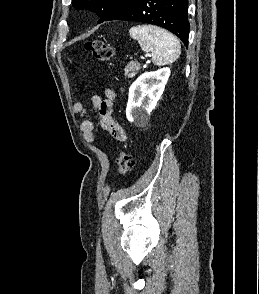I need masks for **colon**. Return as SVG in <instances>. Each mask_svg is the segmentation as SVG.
Returning a JSON list of instances; mask_svg holds the SVG:
<instances>
[{"label":"colon","mask_w":259,"mask_h":294,"mask_svg":"<svg viewBox=\"0 0 259 294\" xmlns=\"http://www.w3.org/2000/svg\"><path fill=\"white\" fill-rule=\"evenodd\" d=\"M92 56L100 61H107L112 57V47L103 40H91L85 44ZM119 172L121 175H126L132 168V155L127 149L121 150L118 157Z\"/></svg>","instance_id":"obj_1"}]
</instances>
